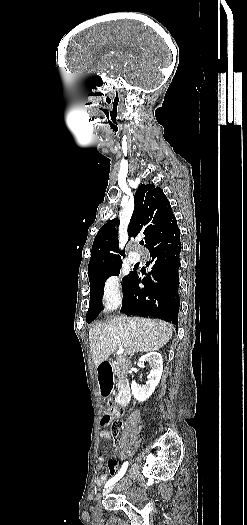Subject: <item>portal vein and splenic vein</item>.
Returning a JSON list of instances; mask_svg holds the SVG:
<instances>
[{
	"label": "portal vein and splenic vein",
	"instance_id": "1",
	"mask_svg": "<svg viewBox=\"0 0 247 525\" xmlns=\"http://www.w3.org/2000/svg\"><path fill=\"white\" fill-rule=\"evenodd\" d=\"M122 353H124V349H122V347H119V351H117V353H114V356L122 355Z\"/></svg>",
	"mask_w": 247,
	"mask_h": 525
}]
</instances>
